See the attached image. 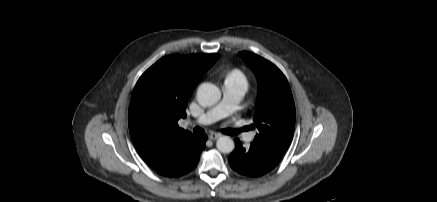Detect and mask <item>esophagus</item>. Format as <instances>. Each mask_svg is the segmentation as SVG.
Segmentation results:
<instances>
[{"instance_id": "34e87169", "label": "esophagus", "mask_w": 437, "mask_h": 202, "mask_svg": "<svg viewBox=\"0 0 437 202\" xmlns=\"http://www.w3.org/2000/svg\"><path fill=\"white\" fill-rule=\"evenodd\" d=\"M220 137H221V135L218 134V133H211V134L209 135V138H210L211 140H216V139H218V138H220Z\"/></svg>"}]
</instances>
